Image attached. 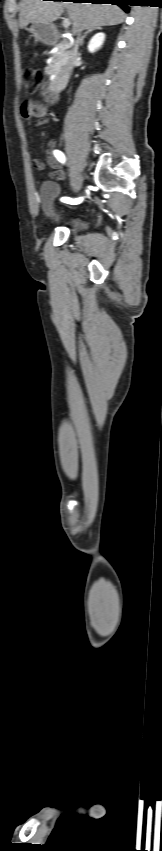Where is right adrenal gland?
<instances>
[{
	"label": "right adrenal gland",
	"instance_id": "2a0ac1e0",
	"mask_svg": "<svg viewBox=\"0 0 162 851\" xmlns=\"http://www.w3.org/2000/svg\"><path fill=\"white\" fill-rule=\"evenodd\" d=\"M94 30H101V27L92 28V29H89L88 31H86V32L84 33V35L82 36V38H81V41H80V45H81V46L84 44V39L86 38L87 34L91 33V32H92V31H94Z\"/></svg>",
	"mask_w": 162,
	"mask_h": 851
}]
</instances>
